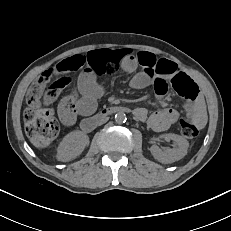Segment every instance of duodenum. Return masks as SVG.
<instances>
[{
	"label": "duodenum",
	"mask_w": 231,
	"mask_h": 231,
	"mask_svg": "<svg viewBox=\"0 0 231 231\" xmlns=\"http://www.w3.org/2000/svg\"><path fill=\"white\" fill-rule=\"evenodd\" d=\"M120 112H127V113L132 112L134 115L137 114L136 110H132L127 106L110 105L101 109L100 111L93 114L92 116L84 119L81 123V129L85 132H90L98 125V121L101 118L108 117Z\"/></svg>",
	"instance_id": "410a0bca"
}]
</instances>
